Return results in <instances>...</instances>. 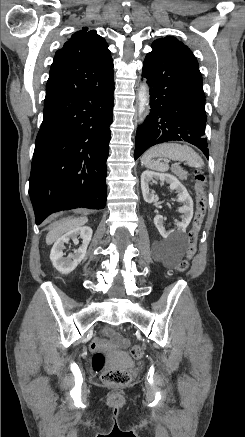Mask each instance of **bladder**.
<instances>
[{
  "instance_id": "1",
  "label": "bladder",
  "mask_w": 245,
  "mask_h": 437,
  "mask_svg": "<svg viewBox=\"0 0 245 437\" xmlns=\"http://www.w3.org/2000/svg\"><path fill=\"white\" fill-rule=\"evenodd\" d=\"M113 362L117 366H126L130 363V359L122 353H116L113 356Z\"/></svg>"
}]
</instances>
